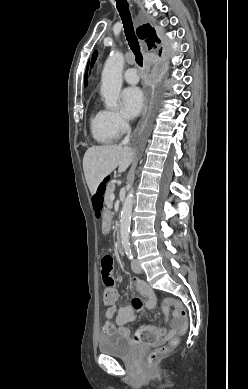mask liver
<instances>
[{
  "label": "liver",
  "mask_w": 248,
  "mask_h": 389,
  "mask_svg": "<svg viewBox=\"0 0 248 389\" xmlns=\"http://www.w3.org/2000/svg\"><path fill=\"white\" fill-rule=\"evenodd\" d=\"M135 157L134 151L121 145L93 146L83 157V170L91 194H95L102 180L117 167L124 172Z\"/></svg>",
  "instance_id": "6515ba94"
}]
</instances>
